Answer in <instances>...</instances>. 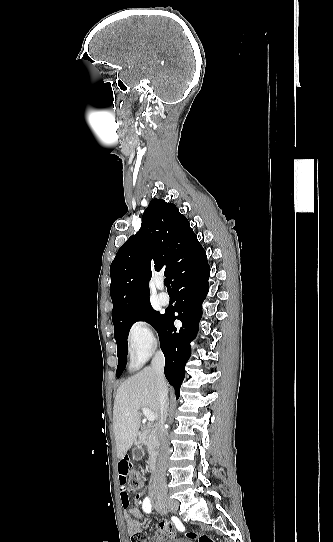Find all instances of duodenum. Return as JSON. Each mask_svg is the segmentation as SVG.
<instances>
[{
    "label": "duodenum",
    "mask_w": 333,
    "mask_h": 542,
    "mask_svg": "<svg viewBox=\"0 0 333 542\" xmlns=\"http://www.w3.org/2000/svg\"><path fill=\"white\" fill-rule=\"evenodd\" d=\"M140 445H148L150 448V457L148 461V469L151 473L155 472L157 468L158 455H159V441L153 433H146L138 440Z\"/></svg>",
    "instance_id": "duodenum-1"
}]
</instances>
